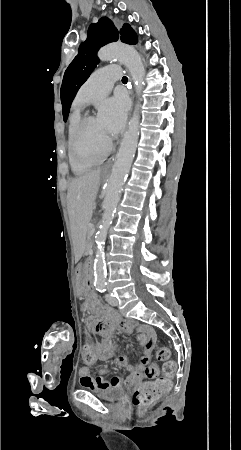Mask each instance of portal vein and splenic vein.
Returning <instances> with one entry per match:
<instances>
[{
    "label": "portal vein and splenic vein",
    "mask_w": 241,
    "mask_h": 450,
    "mask_svg": "<svg viewBox=\"0 0 241 450\" xmlns=\"http://www.w3.org/2000/svg\"><path fill=\"white\" fill-rule=\"evenodd\" d=\"M90 230H91L90 231L91 236H94V232L93 231H95L96 229L95 228H91Z\"/></svg>",
    "instance_id": "1"
}]
</instances>
